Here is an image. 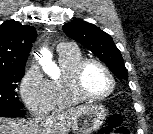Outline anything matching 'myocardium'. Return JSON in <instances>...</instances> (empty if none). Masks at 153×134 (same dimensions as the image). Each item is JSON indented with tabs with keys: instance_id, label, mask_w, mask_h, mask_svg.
<instances>
[{
	"instance_id": "1",
	"label": "myocardium",
	"mask_w": 153,
	"mask_h": 134,
	"mask_svg": "<svg viewBox=\"0 0 153 134\" xmlns=\"http://www.w3.org/2000/svg\"><path fill=\"white\" fill-rule=\"evenodd\" d=\"M95 64L105 71L111 81L110 89L103 94L92 95L86 92L83 85V77L86 68ZM71 89L76 97L82 101H99L109 97L116 89V78L109 67L101 60L96 58H83L72 70L70 76Z\"/></svg>"
}]
</instances>
